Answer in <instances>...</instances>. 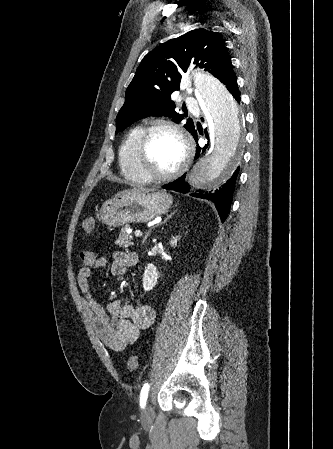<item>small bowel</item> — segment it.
Listing matches in <instances>:
<instances>
[{"mask_svg":"<svg viewBox=\"0 0 333 449\" xmlns=\"http://www.w3.org/2000/svg\"><path fill=\"white\" fill-rule=\"evenodd\" d=\"M81 266L77 273V283L82 293L83 308L94 330L102 342L114 351H121L134 343L141 332L155 319V309L151 305H131L121 300L111 301L105 310L93 297L89 278L92 270L104 267L105 258L94 252L80 253ZM135 253L118 251L113 255L110 272L114 276L125 273L130 266L137 264Z\"/></svg>","mask_w":333,"mask_h":449,"instance_id":"small-bowel-1","label":"small bowel"}]
</instances>
